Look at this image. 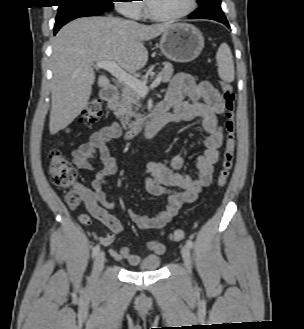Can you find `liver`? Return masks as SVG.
<instances>
[{"mask_svg":"<svg viewBox=\"0 0 304 329\" xmlns=\"http://www.w3.org/2000/svg\"><path fill=\"white\" fill-rule=\"evenodd\" d=\"M171 25H142L114 17H84L71 21L53 39L51 135L66 128L87 106L95 79L93 64L114 61L136 72L148 61L144 41L153 39ZM100 87L109 79L100 76Z\"/></svg>","mask_w":304,"mask_h":329,"instance_id":"obj_1","label":"liver"}]
</instances>
